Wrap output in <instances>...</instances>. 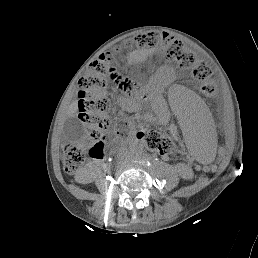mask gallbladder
I'll return each mask as SVG.
<instances>
[{
  "label": "gallbladder",
  "instance_id": "gallbladder-1",
  "mask_svg": "<svg viewBox=\"0 0 258 258\" xmlns=\"http://www.w3.org/2000/svg\"><path fill=\"white\" fill-rule=\"evenodd\" d=\"M64 132L67 138L73 142L80 141L86 135V129L77 118H70L64 123Z\"/></svg>",
  "mask_w": 258,
  "mask_h": 258
}]
</instances>
